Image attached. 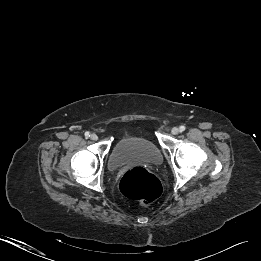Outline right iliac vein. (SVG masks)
<instances>
[{
	"mask_svg": "<svg viewBox=\"0 0 261 261\" xmlns=\"http://www.w3.org/2000/svg\"><path fill=\"white\" fill-rule=\"evenodd\" d=\"M90 138H91L93 141H96V140L98 139V136H97L95 133H93V134L90 136Z\"/></svg>",
	"mask_w": 261,
	"mask_h": 261,
	"instance_id": "obj_1",
	"label": "right iliac vein"
}]
</instances>
